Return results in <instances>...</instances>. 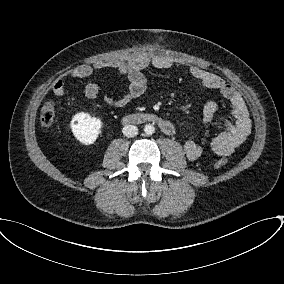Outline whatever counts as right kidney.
Wrapping results in <instances>:
<instances>
[{
    "mask_svg": "<svg viewBox=\"0 0 284 284\" xmlns=\"http://www.w3.org/2000/svg\"><path fill=\"white\" fill-rule=\"evenodd\" d=\"M103 122L100 118L91 117L88 113L79 112L75 114L71 121V131L75 138L82 144H93L99 135Z\"/></svg>",
    "mask_w": 284,
    "mask_h": 284,
    "instance_id": "1",
    "label": "right kidney"
}]
</instances>
